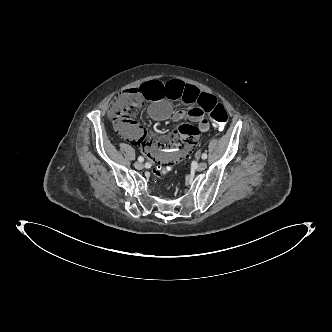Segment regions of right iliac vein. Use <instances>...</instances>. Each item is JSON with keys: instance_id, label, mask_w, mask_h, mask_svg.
I'll return each mask as SVG.
<instances>
[{"instance_id": "right-iliac-vein-1", "label": "right iliac vein", "mask_w": 332, "mask_h": 332, "mask_svg": "<svg viewBox=\"0 0 332 332\" xmlns=\"http://www.w3.org/2000/svg\"><path fill=\"white\" fill-rule=\"evenodd\" d=\"M134 166H135V168L138 169V170H141V169H143V167H144L143 163L140 162V161H136V162L134 163Z\"/></svg>"}]
</instances>
